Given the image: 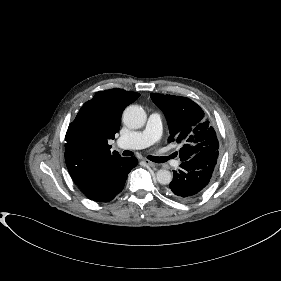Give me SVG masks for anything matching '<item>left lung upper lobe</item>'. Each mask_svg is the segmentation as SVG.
Masks as SVG:
<instances>
[{
    "label": "left lung upper lobe",
    "mask_w": 281,
    "mask_h": 281,
    "mask_svg": "<svg viewBox=\"0 0 281 281\" xmlns=\"http://www.w3.org/2000/svg\"><path fill=\"white\" fill-rule=\"evenodd\" d=\"M152 101L163 111L170 136L169 142L182 145L181 161H187L200 152H217L216 133L205 118L203 110L186 97L151 93Z\"/></svg>",
    "instance_id": "1"
}]
</instances>
